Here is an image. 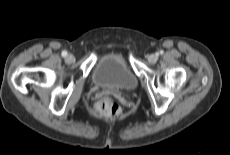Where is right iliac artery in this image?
I'll use <instances>...</instances> for the list:
<instances>
[{
    "label": "right iliac artery",
    "mask_w": 230,
    "mask_h": 155,
    "mask_svg": "<svg viewBox=\"0 0 230 155\" xmlns=\"http://www.w3.org/2000/svg\"><path fill=\"white\" fill-rule=\"evenodd\" d=\"M67 51H62V53H61V55L63 56V57H66L67 56Z\"/></svg>",
    "instance_id": "right-iliac-artery-1"
}]
</instances>
